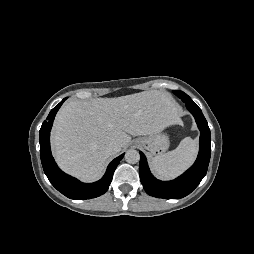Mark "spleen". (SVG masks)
I'll use <instances>...</instances> for the list:
<instances>
[{
    "mask_svg": "<svg viewBox=\"0 0 254 254\" xmlns=\"http://www.w3.org/2000/svg\"><path fill=\"white\" fill-rule=\"evenodd\" d=\"M197 152V141L186 137L175 150L151 158L150 166L160 178L173 179L194 162Z\"/></svg>",
    "mask_w": 254,
    "mask_h": 254,
    "instance_id": "1",
    "label": "spleen"
}]
</instances>
